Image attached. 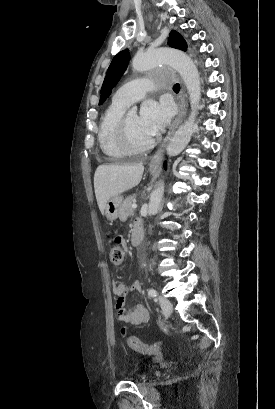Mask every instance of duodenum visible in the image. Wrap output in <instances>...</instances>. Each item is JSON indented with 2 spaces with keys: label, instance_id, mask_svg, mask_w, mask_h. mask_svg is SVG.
<instances>
[{
  "label": "duodenum",
  "instance_id": "1",
  "mask_svg": "<svg viewBox=\"0 0 275 409\" xmlns=\"http://www.w3.org/2000/svg\"><path fill=\"white\" fill-rule=\"evenodd\" d=\"M143 238V228L142 225L137 223L135 224L132 234H131V243L132 245L136 246L138 245Z\"/></svg>",
  "mask_w": 275,
  "mask_h": 409
}]
</instances>
